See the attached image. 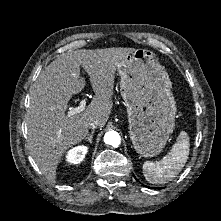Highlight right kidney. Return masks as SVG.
<instances>
[{"instance_id":"right-kidney-1","label":"right kidney","mask_w":221,"mask_h":221,"mask_svg":"<svg viewBox=\"0 0 221 221\" xmlns=\"http://www.w3.org/2000/svg\"><path fill=\"white\" fill-rule=\"evenodd\" d=\"M88 152L86 146H77L70 149L66 155V161L72 164H78L85 158V155Z\"/></svg>"}]
</instances>
